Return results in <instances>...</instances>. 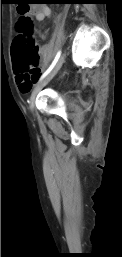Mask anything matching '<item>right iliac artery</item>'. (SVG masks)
Masks as SVG:
<instances>
[{"mask_svg":"<svg viewBox=\"0 0 122 257\" xmlns=\"http://www.w3.org/2000/svg\"><path fill=\"white\" fill-rule=\"evenodd\" d=\"M60 55H61V52L59 51V52L56 54V56H55V58H54L52 64H51V65L49 66V68L43 73V75L40 77L39 81L42 80L44 77H46V76L51 72V70L54 68V66H55L56 63L58 62V60H59V58H60Z\"/></svg>","mask_w":122,"mask_h":257,"instance_id":"82829eb1","label":"right iliac artery"}]
</instances>
